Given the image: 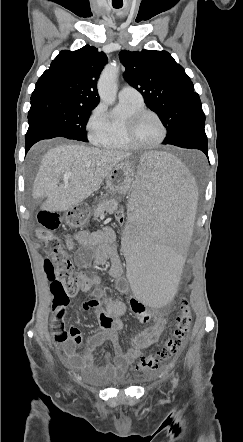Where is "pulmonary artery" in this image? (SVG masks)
I'll return each mask as SVG.
<instances>
[{
    "instance_id": "obj_1",
    "label": "pulmonary artery",
    "mask_w": 243,
    "mask_h": 442,
    "mask_svg": "<svg viewBox=\"0 0 243 442\" xmlns=\"http://www.w3.org/2000/svg\"><path fill=\"white\" fill-rule=\"evenodd\" d=\"M119 99L120 100H125V101H131V102H142L143 101V97L141 95V93L131 87V86H124L120 92H119Z\"/></svg>"
}]
</instances>
